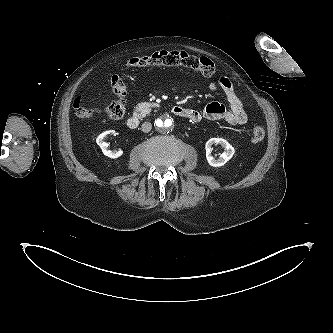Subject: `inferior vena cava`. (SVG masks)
<instances>
[{"label":"inferior vena cava","mask_w":333,"mask_h":333,"mask_svg":"<svg viewBox=\"0 0 333 333\" xmlns=\"http://www.w3.org/2000/svg\"><path fill=\"white\" fill-rule=\"evenodd\" d=\"M141 129L144 133H148L152 129V124L150 122H144L141 126Z\"/></svg>","instance_id":"inferior-vena-cava-1"}]
</instances>
